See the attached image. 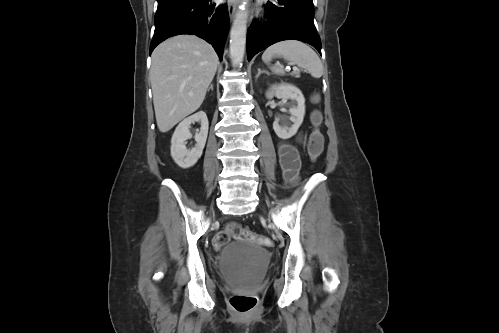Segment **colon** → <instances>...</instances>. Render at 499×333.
<instances>
[{"label": "colon", "instance_id": "1", "mask_svg": "<svg viewBox=\"0 0 499 333\" xmlns=\"http://www.w3.org/2000/svg\"><path fill=\"white\" fill-rule=\"evenodd\" d=\"M317 101V97H314ZM312 131L309 135L307 152L311 162H316L323 151L324 139L320 131L322 123V114L315 110L311 114ZM242 239L258 245H271V240L264 235H259L252 232L249 228L244 227L236 222L229 223L222 231L218 232L213 238V247L216 250L221 249L232 239ZM257 297L247 294H233L230 297L232 308L241 314L250 313L257 305Z\"/></svg>", "mask_w": 499, "mask_h": 333}]
</instances>
